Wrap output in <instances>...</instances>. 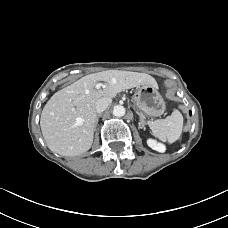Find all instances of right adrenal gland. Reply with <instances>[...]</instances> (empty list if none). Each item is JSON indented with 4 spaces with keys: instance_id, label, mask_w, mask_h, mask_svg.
I'll return each mask as SVG.
<instances>
[{
    "instance_id": "right-adrenal-gland-1",
    "label": "right adrenal gland",
    "mask_w": 228,
    "mask_h": 228,
    "mask_svg": "<svg viewBox=\"0 0 228 228\" xmlns=\"http://www.w3.org/2000/svg\"><path fill=\"white\" fill-rule=\"evenodd\" d=\"M101 117V114H98L97 115V119H96V126H97V124H98V122H99V118Z\"/></svg>"
}]
</instances>
